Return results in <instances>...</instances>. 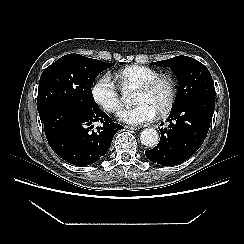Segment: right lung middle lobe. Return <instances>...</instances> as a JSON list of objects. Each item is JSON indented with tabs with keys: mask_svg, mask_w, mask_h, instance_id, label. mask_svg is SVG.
Returning a JSON list of instances; mask_svg holds the SVG:
<instances>
[{
	"mask_svg": "<svg viewBox=\"0 0 244 244\" xmlns=\"http://www.w3.org/2000/svg\"><path fill=\"white\" fill-rule=\"evenodd\" d=\"M114 64L69 54L47 67L40 78L37 109L39 115L58 104L98 106L91 87L98 74Z\"/></svg>",
	"mask_w": 244,
	"mask_h": 244,
	"instance_id": "obj_1",
	"label": "right lung middle lobe"
}]
</instances>
